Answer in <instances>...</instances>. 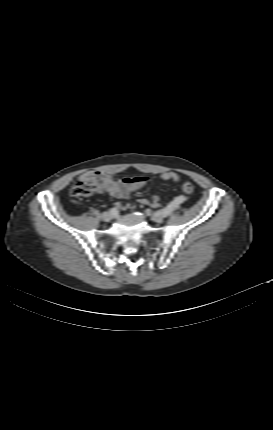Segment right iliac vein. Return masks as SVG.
<instances>
[{
    "label": "right iliac vein",
    "mask_w": 273,
    "mask_h": 430,
    "mask_svg": "<svg viewBox=\"0 0 273 430\" xmlns=\"http://www.w3.org/2000/svg\"><path fill=\"white\" fill-rule=\"evenodd\" d=\"M115 217V214L112 212V210L104 212L102 214V219L106 222H109L110 220H112Z\"/></svg>",
    "instance_id": "obj_1"
}]
</instances>
